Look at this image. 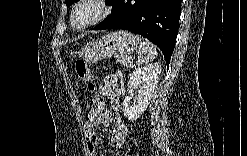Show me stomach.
Returning <instances> with one entry per match:
<instances>
[{"label": "stomach", "instance_id": "obj_1", "mask_svg": "<svg viewBox=\"0 0 247 156\" xmlns=\"http://www.w3.org/2000/svg\"><path fill=\"white\" fill-rule=\"evenodd\" d=\"M138 47L136 37L124 30L108 33L94 42L88 43L81 56L88 63H96L111 57L114 53L129 54Z\"/></svg>", "mask_w": 247, "mask_h": 156}]
</instances>
